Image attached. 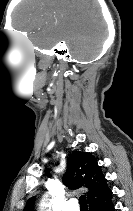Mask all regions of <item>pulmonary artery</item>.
<instances>
[{
    "label": "pulmonary artery",
    "instance_id": "obj_1",
    "mask_svg": "<svg viewBox=\"0 0 133 211\" xmlns=\"http://www.w3.org/2000/svg\"><path fill=\"white\" fill-rule=\"evenodd\" d=\"M63 211H80L76 199H69L63 205Z\"/></svg>",
    "mask_w": 133,
    "mask_h": 211
}]
</instances>
